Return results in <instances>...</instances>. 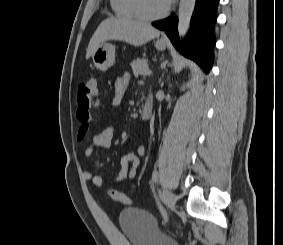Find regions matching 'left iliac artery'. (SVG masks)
<instances>
[{
    "label": "left iliac artery",
    "mask_w": 283,
    "mask_h": 245,
    "mask_svg": "<svg viewBox=\"0 0 283 245\" xmlns=\"http://www.w3.org/2000/svg\"><path fill=\"white\" fill-rule=\"evenodd\" d=\"M158 176H159V175H158V171L154 170L153 173H152V181H153L154 183H156V182L158 181ZM160 211H161V213H162L164 219L166 220V219H167V218H166V212L163 210L162 207H160Z\"/></svg>",
    "instance_id": "44dca946"
}]
</instances>
